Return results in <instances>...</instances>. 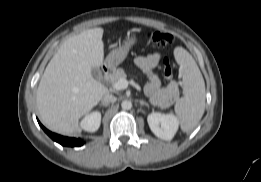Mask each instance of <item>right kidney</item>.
Segmentation results:
<instances>
[{
	"label": "right kidney",
	"mask_w": 261,
	"mask_h": 182,
	"mask_svg": "<svg viewBox=\"0 0 261 182\" xmlns=\"http://www.w3.org/2000/svg\"><path fill=\"white\" fill-rule=\"evenodd\" d=\"M101 123V113L98 111L87 114L81 121V128L88 132L98 130Z\"/></svg>",
	"instance_id": "1"
}]
</instances>
